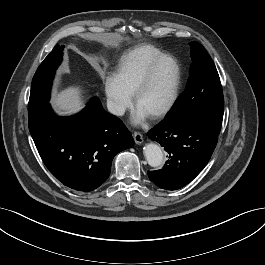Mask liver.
<instances>
[{
  "mask_svg": "<svg viewBox=\"0 0 265 265\" xmlns=\"http://www.w3.org/2000/svg\"><path fill=\"white\" fill-rule=\"evenodd\" d=\"M82 89L80 86H69L61 90L51 103L61 114H73L83 108Z\"/></svg>",
  "mask_w": 265,
  "mask_h": 265,
  "instance_id": "liver-1",
  "label": "liver"
}]
</instances>
